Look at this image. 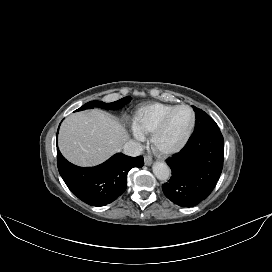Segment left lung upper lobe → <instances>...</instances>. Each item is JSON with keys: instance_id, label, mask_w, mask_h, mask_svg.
<instances>
[{"instance_id": "1", "label": "left lung upper lobe", "mask_w": 272, "mask_h": 272, "mask_svg": "<svg viewBox=\"0 0 272 272\" xmlns=\"http://www.w3.org/2000/svg\"><path fill=\"white\" fill-rule=\"evenodd\" d=\"M196 114L195 129L192 135L199 134L212 126L217 125L215 121L204 111L193 106Z\"/></svg>"}]
</instances>
